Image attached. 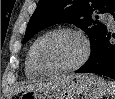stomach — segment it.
Wrapping results in <instances>:
<instances>
[{
    "instance_id": "stomach-1",
    "label": "stomach",
    "mask_w": 115,
    "mask_h": 99,
    "mask_svg": "<svg viewBox=\"0 0 115 99\" xmlns=\"http://www.w3.org/2000/svg\"><path fill=\"white\" fill-rule=\"evenodd\" d=\"M108 91L105 80L94 74H73L41 89L26 90L20 99H101Z\"/></svg>"
}]
</instances>
